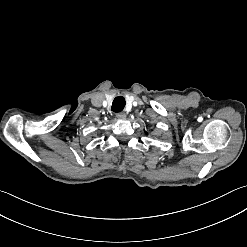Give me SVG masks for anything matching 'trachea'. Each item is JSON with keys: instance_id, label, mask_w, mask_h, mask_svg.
<instances>
[{"instance_id": "obj_1", "label": "trachea", "mask_w": 247, "mask_h": 247, "mask_svg": "<svg viewBox=\"0 0 247 247\" xmlns=\"http://www.w3.org/2000/svg\"><path fill=\"white\" fill-rule=\"evenodd\" d=\"M125 107V99L121 96L116 97L112 103V111L115 113L121 112Z\"/></svg>"}]
</instances>
